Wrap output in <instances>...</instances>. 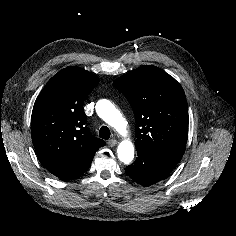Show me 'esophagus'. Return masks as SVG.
Segmentation results:
<instances>
[{"instance_id": "obj_1", "label": "esophagus", "mask_w": 236, "mask_h": 236, "mask_svg": "<svg viewBox=\"0 0 236 236\" xmlns=\"http://www.w3.org/2000/svg\"><path fill=\"white\" fill-rule=\"evenodd\" d=\"M117 145V141L115 139H111L108 141V146L109 147H114Z\"/></svg>"}]
</instances>
